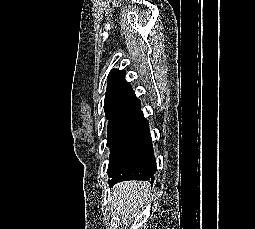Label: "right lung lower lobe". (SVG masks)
Instances as JSON below:
<instances>
[{
    "mask_svg": "<svg viewBox=\"0 0 255 229\" xmlns=\"http://www.w3.org/2000/svg\"><path fill=\"white\" fill-rule=\"evenodd\" d=\"M126 116H128L129 119L137 122L141 130H146V131L149 130L148 122L143 116L141 107H139L138 109L129 111L126 114ZM155 170H156V161L153 154L152 159L147 167L142 168L139 165H135L134 167L131 168V170H129L126 173H118V174L109 175L111 177V180L109 181V183L111 185H114L117 182L125 181V180L147 181L149 179L151 180V183H153Z\"/></svg>",
    "mask_w": 255,
    "mask_h": 229,
    "instance_id": "98d812e1",
    "label": "right lung lower lobe"
}]
</instances>
